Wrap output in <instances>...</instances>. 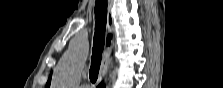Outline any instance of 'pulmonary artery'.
<instances>
[{
    "label": "pulmonary artery",
    "instance_id": "obj_1",
    "mask_svg": "<svg viewBox=\"0 0 223 88\" xmlns=\"http://www.w3.org/2000/svg\"><path fill=\"white\" fill-rule=\"evenodd\" d=\"M81 88H89V86L87 84H83L81 85Z\"/></svg>",
    "mask_w": 223,
    "mask_h": 88
}]
</instances>
